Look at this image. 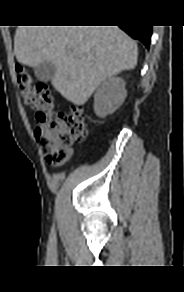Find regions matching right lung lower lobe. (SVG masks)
I'll use <instances>...</instances> for the list:
<instances>
[{
    "label": "right lung lower lobe",
    "instance_id": "98d812e1",
    "mask_svg": "<svg viewBox=\"0 0 184 292\" xmlns=\"http://www.w3.org/2000/svg\"><path fill=\"white\" fill-rule=\"evenodd\" d=\"M132 38L141 41L146 47L150 45L152 26L146 25H124L120 26Z\"/></svg>",
    "mask_w": 184,
    "mask_h": 292
}]
</instances>
